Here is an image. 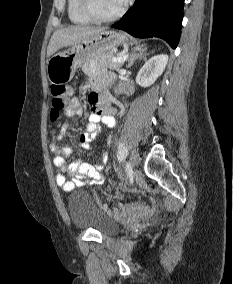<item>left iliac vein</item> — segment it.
<instances>
[{"label":"left iliac vein","instance_id":"1","mask_svg":"<svg viewBox=\"0 0 233 284\" xmlns=\"http://www.w3.org/2000/svg\"><path fill=\"white\" fill-rule=\"evenodd\" d=\"M138 163H139V154L136 151H132L128 165L130 168L133 169L138 166Z\"/></svg>","mask_w":233,"mask_h":284}]
</instances>
